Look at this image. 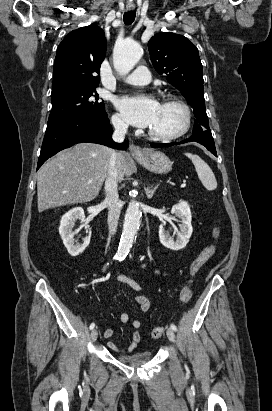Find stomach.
Instances as JSON below:
<instances>
[{
    "label": "stomach",
    "instance_id": "1",
    "mask_svg": "<svg viewBox=\"0 0 272 411\" xmlns=\"http://www.w3.org/2000/svg\"><path fill=\"white\" fill-rule=\"evenodd\" d=\"M134 158L146 169L158 174H165L171 171V160L160 151H147L142 156H134Z\"/></svg>",
    "mask_w": 272,
    "mask_h": 411
}]
</instances>
